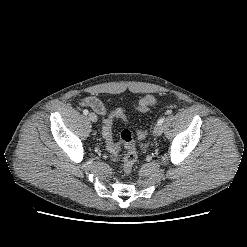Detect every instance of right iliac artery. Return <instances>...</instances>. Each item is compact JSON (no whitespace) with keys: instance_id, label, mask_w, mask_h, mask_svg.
<instances>
[{"instance_id":"1","label":"right iliac artery","mask_w":247,"mask_h":247,"mask_svg":"<svg viewBox=\"0 0 247 247\" xmlns=\"http://www.w3.org/2000/svg\"><path fill=\"white\" fill-rule=\"evenodd\" d=\"M83 114L87 115L88 114V110L87 109L83 110Z\"/></svg>"}]
</instances>
